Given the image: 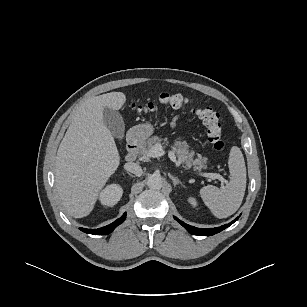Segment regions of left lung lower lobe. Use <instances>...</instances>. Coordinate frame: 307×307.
<instances>
[{
	"label": "left lung lower lobe",
	"mask_w": 307,
	"mask_h": 307,
	"mask_svg": "<svg viewBox=\"0 0 307 307\" xmlns=\"http://www.w3.org/2000/svg\"><path fill=\"white\" fill-rule=\"evenodd\" d=\"M184 228H186V230H188L191 234L193 235H198V236H211L214 235L216 233L221 232L222 230H224L225 228L229 227L231 224H233L236 220H238V217L233 220L231 223L229 224H225L222 225L220 227H216V228H209V229H201V228H196L190 225H187L183 222H181L180 220H178L177 218H175Z\"/></svg>",
	"instance_id": "left-lung-lower-lobe-1"
}]
</instances>
